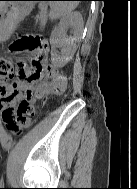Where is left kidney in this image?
Segmentation results:
<instances>
[{"label": "left kidney", "mask_w": 137, "mask_h": 189, "mask_svg": "<svg viewBox=\"0 0 137 189\" xmlns=\"http://www.w3.org/2000/svg\"><path fill=\"white\" fill-rule=\"evenodd\" d=\"M73 8H66L62 13L59 24L55 27L51 34L50 41L53 47L61 48V55L58 56L56 53H51V60L58 66L65 65L71 58L72 52L70 50V40L65 35V29L70 21L76 23L81 21V15L78 12H72Z\"/></svg>", "instance_id": "1"}]
</instances>
